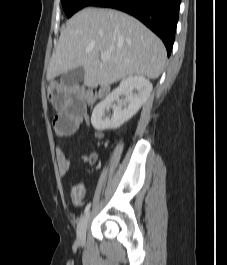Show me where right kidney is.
<instances>
[{"mask_svg":"<svg viewBox=\"0 0 227 265\" xmlns=\"http://www.w3.org/2000/svg\"><path fill=\"white\" fill-rule=\"evenodd\" d=\"M134 90L137 91V94H133ZM151 91L152 84L143 76H129L123 79L119 87L94 108L91 115L92 126L99 131L120 127L138 112L150 96ZM122 94L126 96V99L118 103L111 117H105V109H108L111 103L119 99Z\"/></svg>","mask_w":227,"mask_h":265,"instance_id":"1","label":"right kidney"}]
</instances>
